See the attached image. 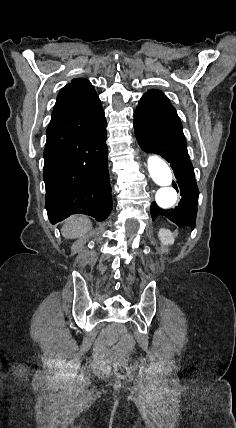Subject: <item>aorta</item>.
I'll return each mask as SVG.
<instances>
[{
    "label": "aorta",
    "mask_w": 236,
    "mask_h": 428,
    "mask_svg": "<svg viewBox=\"0 0 236 428\" xmlns=\"http://www.w3.org/2000/svg\"><path fill=\"white\" fill-rule=\"evenodd\" d=\"M148 171L153 181L160 186L155 201L162 209L171 208L177 200V192L172 187V173L167 163L157 155L148 157Z\"/></svg>",
    "instance_id": "762f6f07"
}]
</instances>
